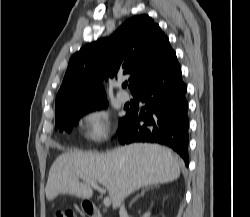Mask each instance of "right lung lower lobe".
Masks as SVG:
<instances>
[{"label":"right lung lower lobe","instance_id":"98d812e1","mask_svg":"<svg viewBox=\"0 0 250 217\" xmlns=\"http://www.w3.org/2000/svg\"><path fill=\"white\" fill-rule=\"evenodd\" d=\"M186 91L175 54L159 72L132 92L134 98L145 106L139 113L127 111L118 134L120 143L147 141L167 145L188 166Z\"/></svg>","mask_w":250,"mask_h":217}]
</instances>
